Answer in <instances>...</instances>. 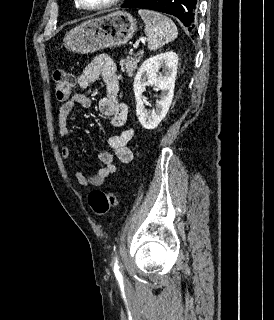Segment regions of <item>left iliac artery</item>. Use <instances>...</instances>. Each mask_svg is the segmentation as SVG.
I'll list each match as a JSON object with an SVG mask.
<instances>
[{
  "instance_id": "obj_1",
  "label": "left iliac artery",
  "mask_w": 274,
  "mask_h": 320,
  "mask_svg": "<svg viewBox=\"0 0 274 320\" xmlns=\"http://www.w3.org/2000/svg\"><path fill=\"white\" fill-rule=\"evenodd\" d=\"M114 273L117 279H122L121 272L119 271V263L117 257L114 258Z\"/></svg>"
}]
</instances>
